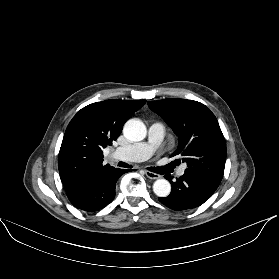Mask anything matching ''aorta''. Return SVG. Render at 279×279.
I'll list each match as a JSON object with an SVG mask.
<instances>
[{"mask_svg": "<svg viewBox=\"0 0 279 279\" xmlns=\"http://www.w3.org/2000/svg\"><path fill=\"white\" fill-rule=\"evenodd\" d=\"M123 133L130 141H141L146 136V126L142 121L132 119L125 123ZM153 191L158 197H167L171 192V184L166 179H158L153 184Z\"/></svg>", "mask_w": 279, "mask_h": 279, "instance_id": "1", "label": "aorta"}]
</instances>
